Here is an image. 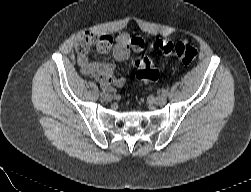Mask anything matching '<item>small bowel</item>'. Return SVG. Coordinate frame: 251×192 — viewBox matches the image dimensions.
I'll return each instance as SVG.
<instances>
[{
	"mask_svg": "<svg viewBox=\"0 0 251 192\" xmlns=\"http://www.w3.org/2000/svg\"><path fill=\"white\" fill-rule=\"evenodd\" d=\"M91 47H95L102 54L112 52L116 60L123 61L130 56L132 51L142 50L144 43L142 39L131 37L126 33L119 34L116 37L110 34L93 33H87L83 36L77 47L78 63L81 70L94 78L104 90H111L113 87H123L126 79L115 76L112 64L90 59L88 52Z\"/></svg>",
	"mask_w": 251,
	"mask_h": 192,
	"instance_id": "1",
	"label": "small bowel"
}]
</instances>
